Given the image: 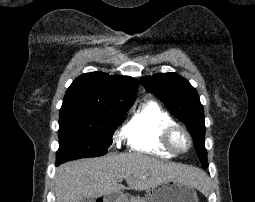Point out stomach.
I'll use <instances>...</instances> for the list:
<instances>
[{
	"label": "stomach",
	"instance_id": "0dacf381",
	"mask_svg": "<svg viewBox=\"0 0 255 202\" xmlns=\"http://www.w3.org/2000/svg\"><path fill=\"white\" fill-rule=\"evenodd\" d=\"M147 197L149 202H198L195 189L178 180L163 181L149 188ZM111 202H128V199L124 195H115Z\"/></svg>",
	"mask_w": 255,
	"mask_h": 202
}]
</instances>
